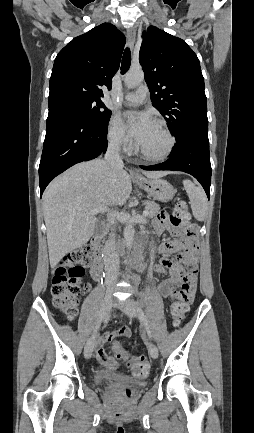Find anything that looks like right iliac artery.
<instances>
[{
    "instance_id": "right-iliac-artery-1",
    "label": "right iliac artery",
    "mask_w": 254,
    "mask_h": 433,
    "mask_svg": "<svg viewBox=\"0 0 254 433\" xmlns=\"http://www.w3.org/2000/svg\"><path fill=\"white\" fill-rule=\"evenodd\" d=\"M99 326H100V325H98V326L96 327L95 333H96V332H97V330L99 329Z\"/></svg>"
}]
</instances>
